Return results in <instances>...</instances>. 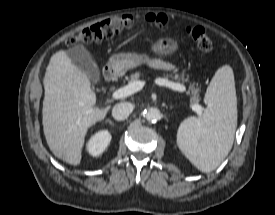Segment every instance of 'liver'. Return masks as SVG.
I'll return each instance as SVG.
<instances>
[{"label":"liver","instance_id":"6515ba94","mask_svg":"<svg viewBox=\"0 0 275 215\" xmlns=\"http://www.w3.org/2000/svg\"><path fill=\"white\" fill-rule=\"evenodd\" d=\"M43 83L42 122L47 144L57 158L79 165L88 128L103 120L109 107H94L96 94L89 76L63 50L51 57Z\"/></svg>","mask_w":275,"mask_h":215}]
</instances>
